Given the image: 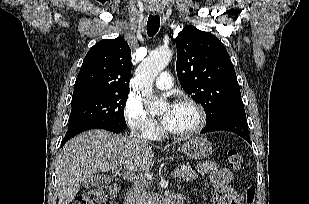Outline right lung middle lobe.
<instances>
[{"mask_svg":"<svg viewBox=\"0 0 309 204\" xmlns=\"http://www.w3.org/2000/svg\"><path fill=\"white\" fill-rule=\"evenodd\" d=\"M128 93L107 94L71 104L69 129L98 124L117 130H125L124 106Z\"/></svg>","mask_w":309,"mask_h":204,"instance_id":"right-lung-middle-lobe-1","label":"right lung middle lobe"}]
</instances>
